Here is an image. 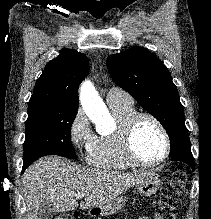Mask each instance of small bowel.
<instances>
[{
    "mask_svg": "<svg viewBox=\"0 0 211 219\" xmlns=\"http://www.w3.org/2000/svg\"><path fill=\"white\" fill-rule=\"evenodd\" d=\"M140 219H165L162 215H160L159 213H154L152 215V218L148 217V216H142ZM168 219H175L174 215H171L168 217Z\"/></svg>",
    "mask_w": 211,
    "mask_h": 219,
    "instance_id": "1",
    "label": "small bowel"
}]
</instances>
